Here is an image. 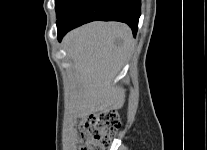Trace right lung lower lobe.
<instances>
[{"mask_svg":"<svg viewBox=\"0 0 207 150\" xmlns=\"http://www.w3.org/2000/svg\"><path fill=\"white\" fill-rule=\"evenodd\" d=\"M140 10L141 0H71L57 17L58 40L69 30L95 20L127 23L135 36Z\"/></svg>","mask_w":207,"mask_h":150,"instance_id":"right-lung-lower-lobe-1","label":"right lung lower lobe"}]
</instances>
